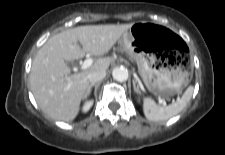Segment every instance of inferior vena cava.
I'll return each mask as SVG.
<instances>
[{
	"label": "inferior vena cava",
	"instance_id": "1",
	"mask_svg": "<svg viewBox=\"0 0 225 155\" xmlns=\"http://www.w3.org/2000/svg\"><path fill=\"white\" fill-rule=\"evenodd\" d=\"M106 76V70L97 69L88 74V79L91 84H95L96 82L101 81Z\"/></svg>",
	"mask_w": 225,
	"mask_h": 155
}]
</instances>
